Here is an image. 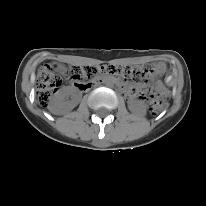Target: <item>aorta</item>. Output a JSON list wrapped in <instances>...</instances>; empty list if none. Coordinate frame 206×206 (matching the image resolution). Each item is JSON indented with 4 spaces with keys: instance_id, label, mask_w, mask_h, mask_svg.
Masks as SVG:
<instances>
[{
    "instance_id": "1",
    "label": "aorta",
    "mask_w": 206,
    "mask_h": 206,
    "mask_svg": "<svg viewBox=\"0 0 206 206\" xmlns=\"http://www.w3.org/2000/svg\"><path fill=\"white\" fill-rule=\"evenodd\" d=\"M105 84L108 87H113L114 86V82L111 78L106 79Z\"/></svg>"
}]
</instances>
